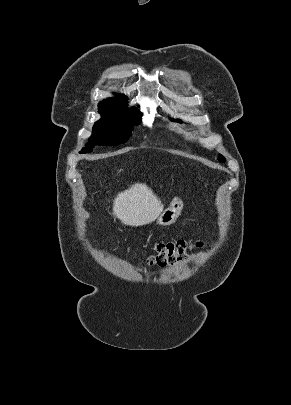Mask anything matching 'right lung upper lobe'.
I'll list each match as a JSON object with an SVG mask.
<instances>
[{
  "instance_id": "cb5924a9",
  "label": "right lung upper lobe",
  "mask_w": 291,
  "mask_h": 405,
  "mask_svg": "<svg viewBox=\"0 0 291 405\" xmlns=\"http://www.w3.org/2000/svg\"><path fill=\"white\" fill-rule=\"evenodd\" d=\"M127 97L125 95L116 94V97L106 99L99 103L98 109L99 112L108 113H130L137 112V109L134 107L132 110L126 107Z\"/></svg>"
}]
</instances>
